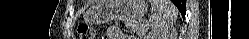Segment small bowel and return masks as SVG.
Returning <instances> with one entry per match:
<instances>
[{
	"label": "small bowel",
	"instance_id": "c3829d8e",
	"mask_svg": "<svg viewBox=\"0 0 249 39\" xmlns=\"http://www.w3.org/2000/svg\"><path fill=\"white\" fill-rule=\"evenodd\" d=\"M124 36L123 31L118 27H109L104 39H120Z\"/></svg>",
	"mask_w": 249,
	"mask_h": 39
}]
</instances>
